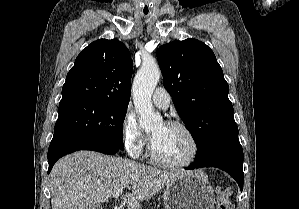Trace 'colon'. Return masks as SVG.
Returning a JSON list of instances; mask_svg holds the SVG:
<instances>
[{"mask_svg":"<svg viewBox=\"0 0 299 209\" xmlns=\"http://www.w3.org/2000/svg\"><path fill=\"white\" fill-rule=\"evenodd\" d=\"M230 195L231 193L228 189H220L218 191L217 209H232Z\"/></svg>","mask_w":299,"mask_h":209,"instance_id":"obj_1","label":"colon"}]
</instances>
